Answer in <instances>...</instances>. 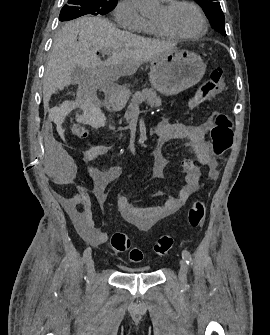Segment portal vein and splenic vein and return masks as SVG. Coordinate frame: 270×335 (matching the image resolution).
Here are the masks:
<instances>
[{"label": "portal vein and splenic vein", "instance_id": "obj_1", "mask_svg": "<svg viewBox=\"0 0 270 335\" xmlns=\"http://www.w3.org/2000/svg\"><path fill=\"white\" fill-rule=\"evenodd\" d=\"M100 52H102V54H113L112 50H100ZM105 66H108V64H105Z\"/></svg>", "mask_w": 270, "mask_h": 335}]
</instances>
